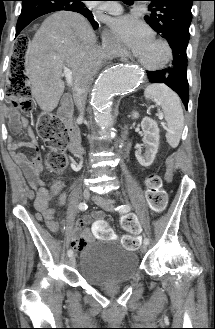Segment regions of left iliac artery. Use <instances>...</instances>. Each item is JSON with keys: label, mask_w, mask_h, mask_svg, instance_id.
Instances as JSON below:
<instances>
[{"label": "left iliac artery", "mask_w": 215, "mask_h": 329, "mask_svg": "<svg viewBox=\"0 0 215 329\" xmlns=\"http://www.w3.org/2000/svg\"><path fill=\"white\" fill-rule=\"evenodd\" d=\"M130 209H131V207L129 205H120L115 210L118 211L119 213L123 214V213L129 212ZM144 244H146V245L149 244V239L148 238L144 239Z\"/></svg>", "instance_id": "obj_1"}]
</instances>
